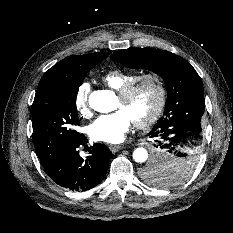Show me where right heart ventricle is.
<instances>
[{
	"instance_id": "obj_1",
	"label": "right heart ventricle",
	"mask_w": 233,
	"mask_h": 233,
	"mask_svg": "<svg viewBox=\"0 0 233 233\" xmlns=\"http://www.w3.org/2000/svg\"><path fill=\"white\" fill-rule=\"evenodd\" d=\"M136 74L123 69H111L101 76V81L109 88L118 91L125 83L130 81Z\"/></svg>"
}]
</instances>
